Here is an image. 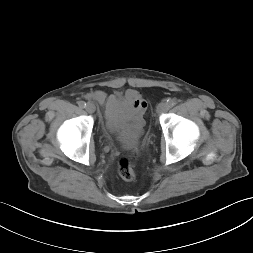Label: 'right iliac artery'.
<instances>
[{
    "label": "right iliac artery",
    "instance_id": "right-iliac-artery-1",
    "mask_svg": "<svg viewBox=\"0 0 253 253\" xmlns=\"http://www.w3.org/2000/svg\"><path fill=\"white\" fill-rule=\"evenodd\" d=\"M78 105L80 108H85L86 107V103L84 101H79Z\"/></svg>",
    "mask_w": 253,
    "mask_h": 253
}]
</instances>
